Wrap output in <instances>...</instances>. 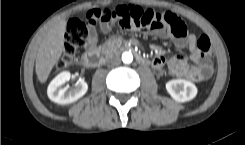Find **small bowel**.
<instances>
[{
    "label": "small bowel",
    "mask_w": 245,
    "mask_h": 145,
    "mask_svg": "<svg viewBox=\"0 0 245 145\" xmlns=\"http://www.w3.org/2000/svg\"><path fill=\"white\" fill-rule=\"evenodd\" d=\"M174 20L180 21L177 17L173 16ZM101 29L104 32L112 31L114 27L113 21H105L101 23ZM91 34L93 32L91 31ZM153 35L160 38H169L172 35V30L169 24L164 25L162 28L152 32ZM190 46V59L193 62L192 65L186 66L184 60L180 57H174L170 62L171 73L175 76L186 75L194 79H201L204 74L210 69V62L205 56L201 55L199 50L194 47V37L189 36L187 38L178 40L176 45L178 47H184L185 45ZM164 60L162 58H157L155 60V65L162 66Z\"/></svg>",
    "instance_id": "small-bowel-1"
}]
</instances>
